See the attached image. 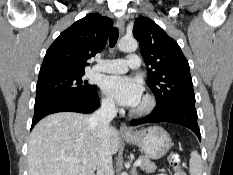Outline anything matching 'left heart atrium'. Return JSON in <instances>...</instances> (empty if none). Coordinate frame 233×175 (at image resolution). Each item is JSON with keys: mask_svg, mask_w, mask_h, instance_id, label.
<instances>
[{"mask_svg": "<svg viewBox=\"0 0 233 175\" xmlns=\"http://www.w3.org/2000/svg\"><path fill=\"white\" fill-rule=\"evenodd\" d=\"M103 89L122 106L136 107L142 100L143 87L141 82L128 76L107 77Z\"/></svg>", "mask_w": 233, "mask_h": 175, "instance_id": "left-heart-atrium-1", "label": "left heart atrium"}]
</instances>
